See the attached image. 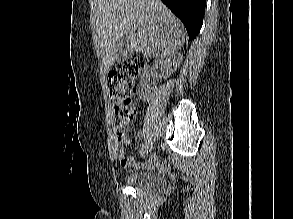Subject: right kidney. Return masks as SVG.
I'll return each instance as SVG.
<instances>
[{
  "mask_svg": "<svg viewBox=\"0 0 293 219\" xmlns=\"http://www.w3.org/2000/svg\"><path fill=\"white\" fill-rule=\"evenodd\" d=\"M181 57H175L173 54L163 56L160 60L162 77L167 79L171 74H173L179 65ZM150 69L149 67L144 68L143 75L140 80V94L144 98L148 97L151 92V87L148 85V80H150Z\"/></svg>",
  "mask_w": 293,
  "mask_h": 219,
  "instance_id": "obj_1",
  "label": "right kidney"
}]
</instances>
